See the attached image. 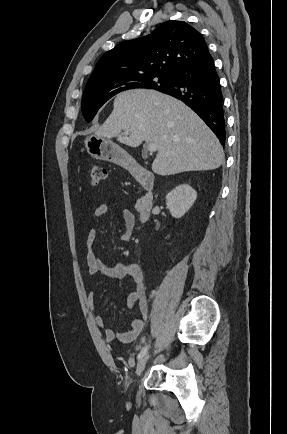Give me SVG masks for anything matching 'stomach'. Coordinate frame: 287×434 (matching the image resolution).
I'll return each mask as SVG.
<instances>
[{
    "mask_svg": "<svg viewBox=\"0 0 287 434\" xmlns=\"http://www.w3.org/2000/svg\"><path fill=\"white\" fill-rule=\"evenodd\" d=\"M84 146L87 153L97 160L109 161L123 167L131 164L132 159L126 151L96 134L87 135Z\"/></svg>",
    "mask_w": 287,
    "mask_h": 434,
    "instance_id": "stomach-1",
    "label": "stomach"
}]
</instances>
